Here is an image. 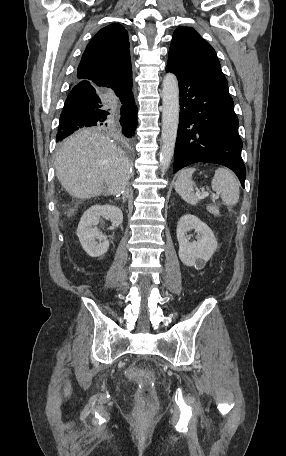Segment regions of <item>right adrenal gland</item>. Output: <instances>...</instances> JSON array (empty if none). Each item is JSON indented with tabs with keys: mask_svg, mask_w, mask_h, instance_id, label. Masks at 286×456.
Instances as JSON below:
<instances>
[{
	"mask_svg": "<svg viewBox=\"0 0 286 456\" xmlns=\"http://www.w3.org/2000/svg\"><path fill=\"white\" fill-rule=\"evenodd\" d=\"M121 199H122V202L124 204L126 202V199H127V193H123Z\"/></svg>",
	"mask_w": 286,
	"mask_h": 456,
	"instance_id": "2a0ac1e0",
	"label": "right adrenal gland"
}]
</instances>
